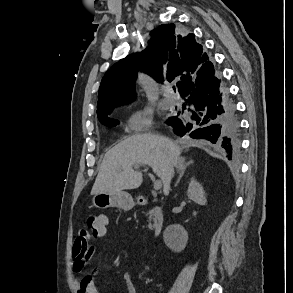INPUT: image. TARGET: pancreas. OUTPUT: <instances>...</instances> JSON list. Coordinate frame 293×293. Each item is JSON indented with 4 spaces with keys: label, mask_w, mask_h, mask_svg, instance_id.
<instances>
[{
    "label": "pancreas",
    "mask_w": 293,
    "mask_h": 293,
    "mask_svg": "<svg viewBox=\"0 0 293 293\" xmlns=\"http://www.w3.org/2000/svg\"><path fill=\"white\" fill-rule=\"evenodd\" d=\"M150 214H151V213H150ZM148 227L150 228V227H151V224H149Z\"/></svg>",
    "instance_id": "pancreas-1"
}]
</instances>
